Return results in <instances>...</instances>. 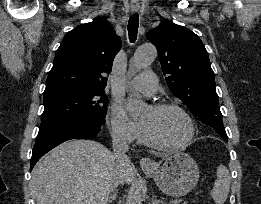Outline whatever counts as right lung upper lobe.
Listing matches in <instances>:
<instances>
[{"mask_svg":"<svg viewBox=\"0 0 261 204\" xmlns=\"http://www.w3.org/2000/svg\"><path fill=\"white\" fill-rule=\"evenodd\" d=\"M121 39L105 19H95L68 32L57 49L44 94L62 91L104 90Z\"/></svg>","mask_w":261,"mask_h":204,"instance_id":"obj_1","label":"right lung upper lobe"}]
</instances>
